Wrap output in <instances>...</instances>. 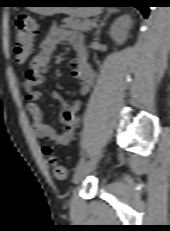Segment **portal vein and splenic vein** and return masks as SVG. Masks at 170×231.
Masks as SVG:
<instances>
[{
	"label": "portal vein and splenic vein",
	"instance_id": "obj_1",
	"mask_svg": "<svg viewBox=\"0 0 170 231\" xmlns=\"http://www.w3.org/2000/svg\"><path fill=\"white\" fill-rule=\"evenodd\" d=\"M93 26H96V22H93V24H92Z\"/></svg>",
	"mask_w": 170,
	"mask_h": 231
}]
</instances>
